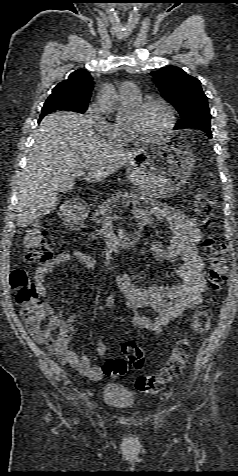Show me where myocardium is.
Segmentation results:
<instances>
[{
    "instance_id": "obj_1",
    "label": "myocardium",
    "mask_w": 238,
    "mask_h": 476,
    "mask_svg": "<svg viewBox=\"0 0 238 476\" xmlns=\"http://www.w3.org/2000/svg\"><path fill=\"white\" fill-rule=\"evenodd\" d=\"M150 105H160L165 109V111L167 113V116H168L167 124L161 131H159L157 133L144 134V133H141L139 130H137L131 123L126 121V123H125L126 128L129 132V134L136 141L147 142V141L157 140L159 138H162V137L168 135L175 126L176 116H175L174 109H173L172 105L169 102H167L166 100H164L162 98H147V99L141 100L138 103H136L134 106H132L131 112L134 115H139Z\"/></svg>"
}]
</instances>
